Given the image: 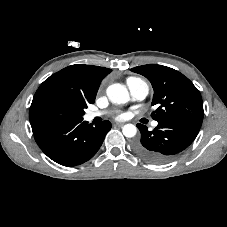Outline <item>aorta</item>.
<instances>
[{"label": "aorta", "instance_id": "obj_1", "mask_svg": "<svg viewBox=\"0 0 227 227\" xmlns=\"http://www.w3.org/2000/svg\"><path fill=\"white\" fill-rule=\"evenodd\" d=\"M107 96L112 103L121 104L129 100V94L126 87L122 84L115 83L110 85L107 90ZM125 137H134L137 133V128L133 124H126L122 128Z\"/></svg>", "mask_w": 227, "mask_h": 227}]
</instances>
